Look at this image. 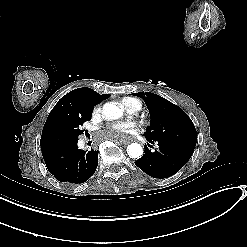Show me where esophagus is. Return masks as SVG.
Masks as SVG:
<instances>
[{"mask_svg": "<svg viewBox=\"0 0 247 247\" xmlns=\"http://www.w3.org/2000/svg\"><path fill=\"white\" fill-rule=\"evenodd\" d=\"M132 143H133L134 145H137V144H141V141H139L137 138H134V139L125 141V144L132 145Z\"/></svg>", "mask_w": 247, "mask_h": 247, "instance_id": "obj_1", "label": "esophagus"}]
</instances>
